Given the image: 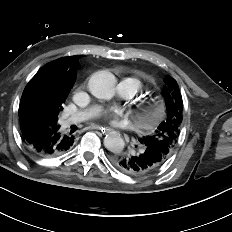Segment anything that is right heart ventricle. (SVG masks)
<instances>
[{
	"instance_id": "right-heart-ventricle-1",
	"label": "right heart ventricle",
	"mask_w": 232,
	"mask_h": 232,
	"mask_svg": "<svg viewBox=\"0 0 232 232\" xmlns=\"http://www.w3.org/2000/svg\"><path fill=\"white\" fill-rule=\"evenodd\" d=\"M138 83H139V85H140V82L137 80V79H135Z\"/></svg>"
}]
</instances>
